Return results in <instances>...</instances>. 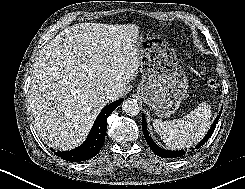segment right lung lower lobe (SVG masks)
Wrapping results in <instances>:
<instances>
[{"mask_svg":"<svg viewBox=\"0 0 245 189\" xmlns=\"http://www.w3.org/2000/svg\"><path fill=\"white\" fill-rule=\"evenodd\" d=\"M122 102L123 99L114 101L100 112L82 145L70 151L55 152V154L67 161H85L96 156L104 145L107 118Z\"/></svg>","mask_w":245,"mask_h":189,"instance_id":"right-lung-lower-lobe-1","label":"right lung lower lobe"}]
</instances>
